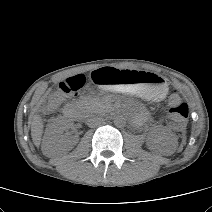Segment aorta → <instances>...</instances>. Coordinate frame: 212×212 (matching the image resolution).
I'll return each instance as SVG.
<instances>
[{"instance_id": "762f6f07", "label": "aorta", "mask_w": 212, "mask_h": 212, "mask_svg": "<svg viewBox=\"0 0 212 212\" xmlns=\"http://www.w3.org/2000/svg\"><path fill=\"white\" fill-rule=\"evenodd\" d=\"M126 121H125V118L122 117V116H117L115 119H114V124L116 126H123L125 125Z\"/></svg>"}]
</instances>
